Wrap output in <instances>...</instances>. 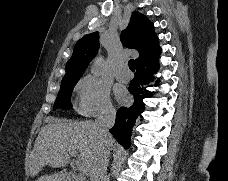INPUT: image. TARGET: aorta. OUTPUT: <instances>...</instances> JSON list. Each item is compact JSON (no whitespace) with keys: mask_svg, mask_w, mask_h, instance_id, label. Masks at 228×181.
<instances>
[{"mask_svg":"<svg viewBox=\"0 0 228 181\" xmlns=\"http://www.w3.org/2000/svg\"><path fill=\"white\" fill-rule=\"evenodd\" d=\"M105 67V61L102 57H97L92 64L91 72L92 74L99 76Z\"/></svg>","mask_w":228,"mask_h":181,"instance_id":"1","label":"aorta"}]
</instances>
